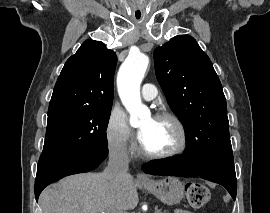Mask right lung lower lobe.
Masks as SVG:
<instances>
[{
	"label": "right lung lower lobe",
	"mask_w": 270,
	"mask_h": 213,
	"mask_svg": "<svg viewBox=\"0 0 270 213\" xmlns=\"http://www.w3.org/2000/svg\"><path fill=\"white\" fill-rule=\"evenodd\" d=\"M108 156V148L100 147L81 153H67L41 156L35 180V197L50 183L61 178L83 172H89L99 166Z\"/></svg>",
	"instance_id": "right-lung-lower-lobe-1"
}]
</instances>
